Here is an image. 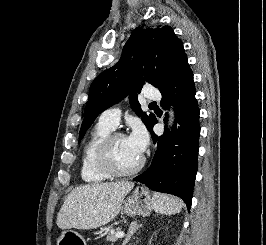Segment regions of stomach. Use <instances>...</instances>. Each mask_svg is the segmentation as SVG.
I'll return each instance as SVG.
<instances>
[{
  "instance_id": "1",
  "label": "stomach",
  "mask_w": 266,
  "mask_h": 245,
  "mask_svg": "<svg viewBox=\"0 0 266 245\" xmlns=\"http://www.w3.org/2000/svg\"><path fill=\"white\" fill-rule=\"evenodd\" d=\"M122 209L128 217H135V215L147 217L153 209V199L144 187H137L131 197L122 201ZM57 243L58 245H86L84 237L76 231H63Z\"/></svg>"
}]
</instances>
